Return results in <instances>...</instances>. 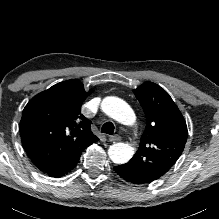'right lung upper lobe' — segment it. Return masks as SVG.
Instances as JSON below:
<instances>
[{
	"label": "right lung upper lobe",
	"mask_w": 219,
	"mask_h": 219,
	"mask_svg": "<svg viewBox=\"0 0 219 219\" xmlns=\"http://www.w3.org/2000/svg\"><path fill=\"white\" fill-rule=\"evenodd\" d=\"M92 93L78 80L60 82L32 98L20 122L23 147L41 171L60 168L79 159L82 151L98 141L91 121L81 114Z\"/></svg>",
	"instance_id": "right-lung-upper-lobe-1"
}]
</instances>
